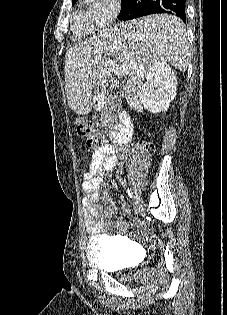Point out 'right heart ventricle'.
Here are the masks:
<instances>
[{"label": "right heart ventricle", "instance_id": "1", "mask_svg": "<svg viewBox=\"0 0 227 315\" xmlns=\"http://www.w3.org/2000/svg\"><path fill=\"white\" fill-rule=\"evenodd\" d=\"M71 21L72 29L79 37H86L94 32L95 24L89 8L77 7L72 14Z\"/></svg>", "mask_w": 227, "mask_h": 315}]
</instances>
